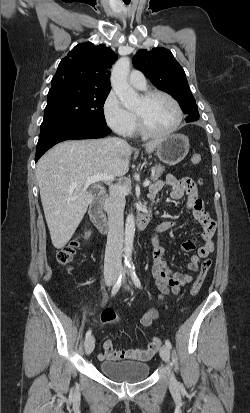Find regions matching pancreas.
Masks as SVG:
<instances>
[{"label": "pancreas", "mask_w": 250, "mask_h": 413, "mask_svg": "<svg viewBox=\"0 0 250 413\" xmlns=\"http://www.w3.org/2000/svg\"><path fill=\"white\" fill-rule=\"evenodd\" d=\"M165 167L161 164H156L155 166L152 167V176H151V180L152 181H156L158 180V178L162 175V173L164 172Z\"/></svg>", "instance_id": "pancreas-1"}]
</instances>
